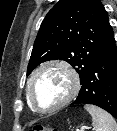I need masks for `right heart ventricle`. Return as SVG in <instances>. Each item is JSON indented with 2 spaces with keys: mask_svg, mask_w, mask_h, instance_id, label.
I'll list each match as a JSON object with an SVG mask.
<instances>
[{
  "mask_svg": "<svg viewBox=\"0 0 117 131\" xmlns=\"http://www.w3.org/2000/svg\"><path fill=\"white\" fill-rule=\"evenodd\" d=\"M26 100H27V104H28L29 108H30L32 111H34L33 108L31 107L30 103H29V100H28V97H27V91H26Z\"/></svg>",
  "mask_w": 117,
  "mask_h": 131,
  "instance_id": "obj_1",
  "label": "right heart ventricle"
}]
</instances>
